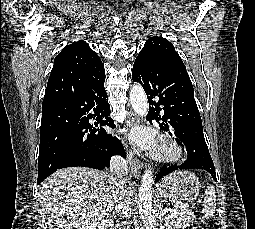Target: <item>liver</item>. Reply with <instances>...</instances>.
<instances>
[{
	"instance_id": "liver-1",
	"label": "liver",
	"mask_w": 255,
	"mask_h": 229,
	"mask_svg": "<svg viewBox=\"0 0 255 229\" xmlns=\"http://www.w3.org/2000/svg\"><path fill=\"white\" fill-rule=\"evenodd\" d=\"M116 184L117 178L105 171L64 168L42 182L38 198L54 229H85L113 210ZM126 188L131 195L130 183Z\"/></svg>"
}]
</instances>
